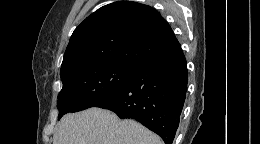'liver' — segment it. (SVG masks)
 Wrapping results in <instances>:
<instances>
[{
  "label": "liver",
  "instance_id": "obj_1",
  "mask_svg": "<svg viewBox=\"0 0 260 144\" xmlns=\"http://www.w3.org/2000/svg\"><path fill=\"white\" fill-rule=\"evenodd\" d=\"M53 144H163L158 135L134 120H120L109 110L92 107L67 114L58 123Z\"/></svg>",
  "mask_w": 260,
  "mask_h": 144
}]
</instances>
